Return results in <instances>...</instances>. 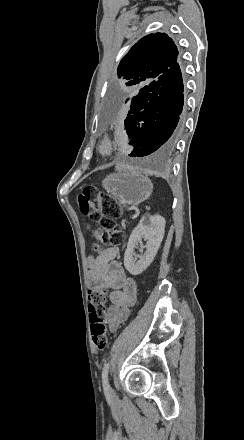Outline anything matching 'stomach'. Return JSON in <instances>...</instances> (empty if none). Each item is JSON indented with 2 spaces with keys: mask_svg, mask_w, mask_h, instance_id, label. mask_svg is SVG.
I'll use <instances>...</instances> for the list:
<instances>
[{
  "mask_svg": "<svg viewBox=\"0 0 244 440\" xmlns=\"http://www.w3.org/2000/svg\"><path fill=\"white\" fill-rule=\"evenodd\" d=\"M102 186L124 206H139L144 200H149L153 192L151 180L141 172L109 174L104 178Z\"/></svg>",
  "mask_w": 244,
  "mask_h": 440,
  "instance_id": "0dacf381",
  "label": "stomach"
}]
</instances>
